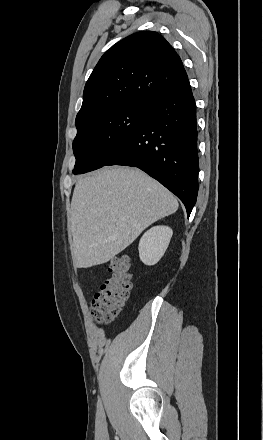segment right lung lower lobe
Returning a JSON list of instances; mask_svg holds the SVG:
<instances>
[{"label":"right lung lower lobe","instance_id":"obj_1","mask_svg":"<svg viewBox=\"0 0 263 440\" xmlns=\"http://www.w3.org/2000/svg\"><path fill=\"white\" fill-rule=\"evenodd\" d=\"M106 165L137 167L174 193L189 217L198 194L196 105L189 80L148 102L139 127Z\"/></svg>","mask_w":263,"mask_h":440}]
</instances>
